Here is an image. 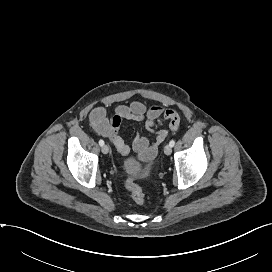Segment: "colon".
<instances>
[{
  "mask_svg": "<svg viewBox=\"0 0 272 272\" xmlns=\"http://www.w3.org/2000/svg\"><path fill=\"white\" fill-rule=\"evenodd\" d=\"M93 118L99 126L106 123L105 115L103 111L100 109H96L93 112ZM111 123L114 125H118L120 124V119L117 116H114ZM125 186L127 190L130 192L133 201L138 205H142L145 201L144 192L142 188L139 185H137L133 179H127L125 181Z\"/></svg>",
  "mask_w": 272,
  "mask_h": 272,
  "instance_id": "obj_1",
  "label": "colon"
}]
</instances>
